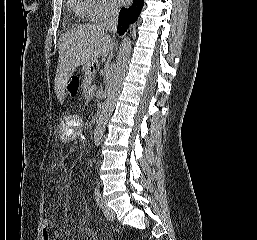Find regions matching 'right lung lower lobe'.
<instances>
[{
	"label": "right lung lower lobe",
	"mask_w": 257,
	"mask_h": 240,
	"mask_svg": "<svg viewBox=\"0 0 257 240\" xmlns=\"http://www.w3.org/2000/svg\"><path fill=\"white\" fill-rule=\"evenodd\" d=\"M144 5V0H134L129 8H122L119 12L118 32L123 35L129 25L135 22L141 13Z\"/></svg>",
	"instance_id": "right-lung-lower-lobe-1"
}]
</instances>
